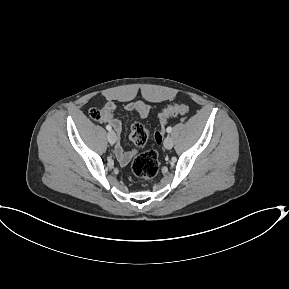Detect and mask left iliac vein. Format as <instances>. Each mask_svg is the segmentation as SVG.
I'll list each match as a JSON object with an SVG mask.
<instances>
[{
	"label": "left iliac vein",
	"mask_w": 289,
	"mask_h": 289,
	"mask_svg": "<svg viewBox=\"0 0 289 289\" xmlns=\"http://www.w3.org/2000/svg\"><path fill=\"white\" fill-rule=\"evenodd\" d=\"M174 145L173 139L170 136H167L164 140V147L166 149H171Z\"/></svg>",
	"instance_id": "left-iliac-vein-1"
}]
</instances>
